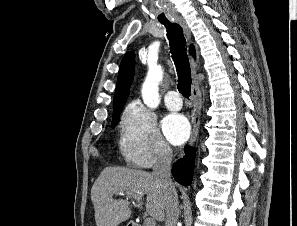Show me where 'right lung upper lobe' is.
Listing matches in <instances>:
<instances>
[{"label":"right lung upper lobe","mask_w":297,"mask_h":226,"mask_svg":"<svg viewBox=\"0 0 297 226\" xmlns=\"http://www.w3.org/2000/svg\"><path fill=\"white\" fill-rule=\"evenodd\" d=\"M190 52L193 56H195V50L193 46L190 47ZM134 74L135 54L133 52H128L125 54L120 64L117 86L114 95L113 109L124 106L129 94V88L131 86Z\"/></svg>","instance_id":"obj_1"}]
</instances>
